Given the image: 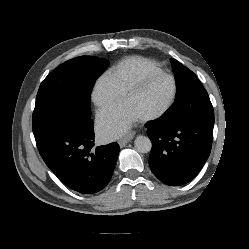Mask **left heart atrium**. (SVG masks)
<instances>
[{
    "label": "left heart atrium",
    "mask_w": 249,
    "mask_h": 249,
    "mask_svg": "<svg viewBox=\"0 0 249 249\" xmlns=\"http://www.w3.org/2000/svg\"><path fill=\"white\" fill-rule=\"evenodd\" d=\"M139 116L125 103L114 104L98 114L99 133L106 139L116 138L125 133Z\"/></svg>",
    "instance_id": "1"
}]
</instances>
